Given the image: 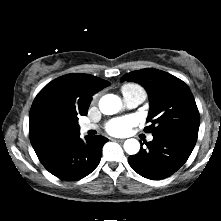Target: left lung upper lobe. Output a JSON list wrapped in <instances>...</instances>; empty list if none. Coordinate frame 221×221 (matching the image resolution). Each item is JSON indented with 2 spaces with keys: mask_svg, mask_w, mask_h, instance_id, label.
I'll use <instances>...</instances> for the list:
<instances>
[{
  "mask_svg": "<svg viewBox=\"0 0 221 221\" xmlns=\"http://www.w3.org/2000/svg\"><path fill=\"white\" fill-rule=\"evenodd\" d=\"M134 81L148 92L150 111L145 127L153 135L178 133L197 140L199 111L189 87L177 77L153 68L132 71L122 81Z\"/></svg>",
  "mask_w": 221,
  "mask_h": 221,
  "instance_id": "1",
  "label": "left lung upper lobe"
}]
</instances>
